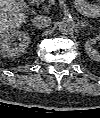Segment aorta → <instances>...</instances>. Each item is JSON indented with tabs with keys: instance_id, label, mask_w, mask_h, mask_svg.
<instances>
[{
	"instance_id": "aorta-1",
	"label": "aorta",
	"mask_w": 100,
	"mask_h": 118,
	"mask_svg": "<svg viewBox=\"0 0 100 118\" xmlns=\"http://www.w3.org/2000/svg\"><path fill=\"white\" fill-rule=\"evenodd\" d=\"M58 29L63 34H71L75 29V23L71 17H64L58 22Z\"/></svg>"
}]
</instances>
